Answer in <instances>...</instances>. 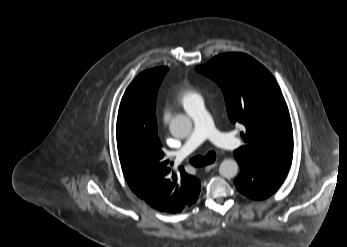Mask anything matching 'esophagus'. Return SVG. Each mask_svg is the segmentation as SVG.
I'll return each instance as SVG.
<instances>
[{
	"mask_svg": "<svg viewBox=\"0 0 347 247\" xmlns=\"http://www.w3.org/2000/svg\"><path fill=\"white\" fill-rule=\"evenodd\" d=\"M217 166H218L217 162L209 164L205 167V171H210L211 169L216 168Z\"/></svg>",
	"mask_w": 347,
	"mask_h": 247,
	"instance_id": "esophagus-1",
	"label": "esophagus"
}]
</instances>
